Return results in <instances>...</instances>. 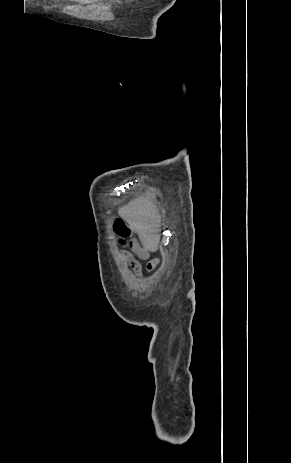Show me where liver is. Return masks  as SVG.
Listing matches in <instances>:
<instances>
[{
    "label": "liver",
    "instance_id": "obj_1",
    "mask_svg": "<svg viewBox=\"0 0 291 463\" xmlns=\"http://www.w3.org/2000/svg\"><path fill=\"white\" fill-rule=\"evenodd\" d=\"M119 215L134 230L145 250L154 252L158 249L160 235V217L150 197L131 200L118 210Z\"/></svg>",
    "mask_w": 291,
    "mask_h": 463
}]
</instances>
